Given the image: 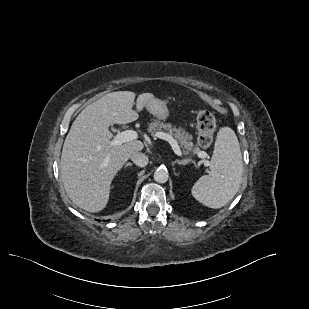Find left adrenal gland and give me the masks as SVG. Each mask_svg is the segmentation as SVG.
<instances>
[{"mask_svg": "<svg viewBox=\"0 0 309 309\" xmlns=\"http://www.w3.org/2000/svg\"><path fill=\"white\" fill-rule=\"evenodd\" d=\"M192 160L189 158H185L183 160H176L175 162L179 165H187L189 162H191Z\"/></svg>", "mask_w": 309, "mask_h": 309, "instance_id": "left-adrenal-gland-1", "label": "left adrenal gland"}]
</instances>
